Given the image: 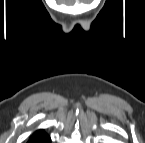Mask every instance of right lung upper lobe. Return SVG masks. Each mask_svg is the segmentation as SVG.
Wrapping results in <instances>:
<instances>
[{"instance_id":"obj_1","label":"right lung upper lobe","mask_w":145,"mask_h":143,"mask_svg":"<svg viewBox=\"0 0 145 143\" xmlns=\"http://www.w3.org/2000/svg\"><path fill=\"white\" fill-rule=\"evenodd\" d=\"M28 143H50V138L43 130H39L31 136Z\"/></svg>"}]
</instances>
